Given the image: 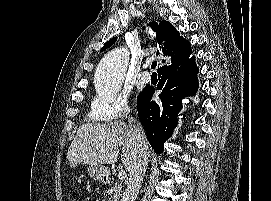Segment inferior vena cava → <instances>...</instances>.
<instances>
[{
  "label": "inferior vena cava",
  "instance_id": "inferior-vena-cava-1",
  "mask_svg": "<svg viewBox=\"0 0 271 201\" xmlns=\"http://www.w3.org/2000/svg\"><path fill=\"white\" fill-rule=\"evenodd\" d=\"M129 129L135 145L136 156L129 174V181L121 201H135L148 164V140L141 123L130 117Z\"/></svg>",
  "mask_w": 271,
  "mask_h": 201
}]
</instances>
